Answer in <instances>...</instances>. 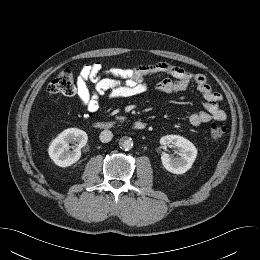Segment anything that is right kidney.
I'll list each match as a JSON object with an SVG mask.
<instances>
[{"label": "right kidney", "mask_w": 260, "mask_h": 260, "mask_svg": "<svg viewBox=\"0 0 260 260\" xmlns=\"http://www.w3.org/2000/svg\"><path fill=\"white\" fill-rule=\"evenodd\" d=\"M87 133L78 128H68L61 132L50 144L48 153L59 167H68L81 157V148L87 143ZM69 143L75 144L74 150H69Z\"/></svg>", "instance_id": "ca27d5eb"}]
</instances>
